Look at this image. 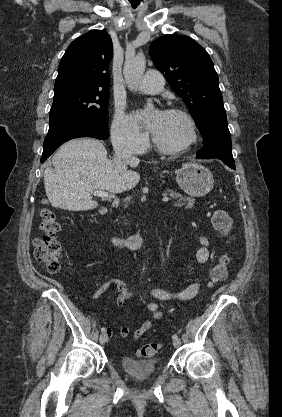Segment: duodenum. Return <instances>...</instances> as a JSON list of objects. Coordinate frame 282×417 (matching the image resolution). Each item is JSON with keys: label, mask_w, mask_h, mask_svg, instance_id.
<instances>
[{"label": "duodenum", "mask_w": 282, "mask_h": 417, "mask_svg": "<svg viewBox=\"0 0 282 417\" xmlns=\"http://www.w3.org/2000/svg\"><path fill=\"white\" fill-rule=\"evenodd\" d=\"M110 238L116 246L125 244L134 249L138 248L143 241L142 235L121 236L115 233H110Z\"/></svg>", "instance_id": "duodenum-1"}]
</instances>
